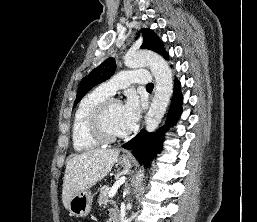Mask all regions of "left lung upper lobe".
I'll return each mask as SVG.
<instances>
[{
	"label": "left lung upper lobe",
	"mask_w": 257,
	"mask_h": 222,
	"mask_svg": "<svg viewBox=\"0 0 257 222\" xmlns=\"http://www.w3.org/2000/svg\"><path fill=\"white\" fill-rule=\"evenodd\" d=\"M143 43L141 48L153 50L165 59H168V54L164 50L162 41L151 29H142ZM116 69L115 59L110 57L106 59L101 65L93 69L86 77H84L79 85L75 104H77L84 95L99 83L109 79L114 74Z\"/></svg>",
	"instance_id": "left-lung-upper-lobe-1"
}]
</instances>
